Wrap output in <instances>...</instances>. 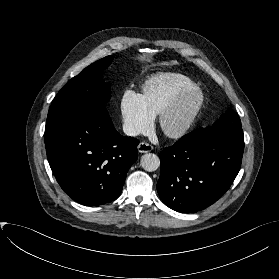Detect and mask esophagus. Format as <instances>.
<instances>
[{"label": "esophagus", "instance_id": "obj_1", "mask_svg": "<svg viewBox=\"0 0 279 279\" xmlns=\"http://www.w3.org/2000/svg\"><path fill=\"white\" fill-rule=\"evenodd\" d=\"M152 150H153V147L149 143L140 142L139 145H138V151L140 153H148V152H150Z\"/></svg>", "mask_w": 279, "mask_h": 279}]
</instances>
